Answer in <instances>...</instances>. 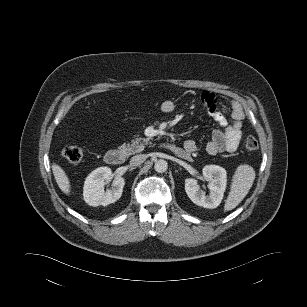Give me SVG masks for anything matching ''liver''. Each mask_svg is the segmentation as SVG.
Wrapping results in <instances>:
<instances>
[{
    "mask_svg": "<svg viewBox=\"0 0 307 307\" xmlns=\"http://www.w3.org/2000/svg\"><path fill=\"white\" fill-rule=\"evenodd\" d=\"M52 171L61 191L66 195H70L71 185L65 171L57 164L52 165Z\"/></svg>",
    "mask_w": 307,
    "mask_h": 307,
    "instance_id": "obj_1",
    "label": "liver"
}]
</instances>
